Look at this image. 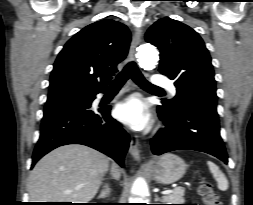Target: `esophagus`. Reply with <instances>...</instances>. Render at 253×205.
<instances>
[{
    "label": "esophagus",
    "mask_w": 253,
    "mask_h": 205,
    "mask_svg": "<svg viewBox=\"0 0 253 205\" xmlns=\"http://www.w3.org/2000/svg\"><path fill=\"white\" fill-rule=\"evenodd\" d=\"M141 39H142V31L141 29L137 28L134 32L129 51V56L132 60H135L137 47L139 46ZM129 153L135 160L137 161L140 160L141 158L140 144L136 137L131 139L129 146Z\"/></svg>",
    "instance_id": "obj_1"
}]
</instances>
